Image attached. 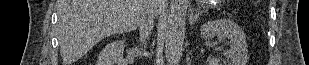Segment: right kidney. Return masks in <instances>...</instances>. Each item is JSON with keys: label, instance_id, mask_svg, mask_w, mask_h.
<instances>
[{"label": "right kidney", "instance_id": "right-kidney-1", "mask_svg": "<svg viewBox=\"0 0 309 65\" xmlns=\"http://www.w3.org/2000/svg\"><path fill=\"white\" fill-rule=\"evenodd\" d=\"M124 42L115 40L100 52L97 65H120L123 60Z\"/></svg>", "mask_w": 309, "mask_h": 65}]
</instances>
